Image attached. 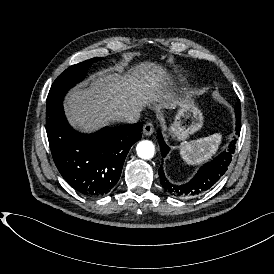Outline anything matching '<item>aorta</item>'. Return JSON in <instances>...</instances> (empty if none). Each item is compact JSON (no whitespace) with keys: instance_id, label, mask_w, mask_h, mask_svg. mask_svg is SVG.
I'll return each instance as SVG.
<instances>
[{"instance_id":"obj_1","label":"aorta","mask_w":274,"mask_h":274,"mask_svg":"<svg viewBox=\"0 0 274 274\" xmlns=\"http://www.w3.org/2000/svg\"><path fill=\"white\" fill-rule=\"evenodd\" d=\"M137 155L142 159H151L154 156L155 148L151 141L142 140L136 146Z\"/></svg>"}]
</instances>
